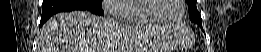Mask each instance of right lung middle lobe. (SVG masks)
<instances>
[{"mask_svg":"<svg viewBox=\"0 0 261 52\" xmlns=\"http://www.w3.org/2000/svg\"><path fill=\"white\" fill-rule=\"evenodd\" d=\"M83 2L93 5V6H98V7H101V5H102V0H87V1H83Z\"/></svg>","mask_w":261,"mask_h":52,"instance_id":"obj_1","label":"right lung middle lobe"}]
</instances>
